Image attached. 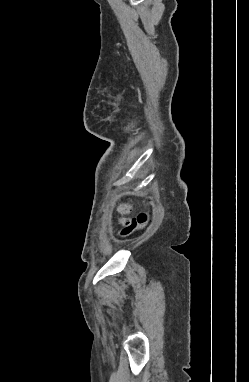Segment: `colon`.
<instances>
[{
  "label": "colon",
  "instance_id": "5ec220e1",
  "mask_svg": "<svg viewBox=\"0 0 249 382\" xmlns=\"http://www.w3.org/2000/svg\"><path fill=\"white\" fill-rule=\"evenodd\" d=\"M130 210L131 204L129 202H121L117 208V211L120 215L119 223L122 226L120 232V236L122 238H126L135 231L141 229L147 224L149 220L147 212H141L135 218H129L128 214Z\"/></svg>",
  "mask_w": 249,
  "mask_h": 382
}]
</instances>
